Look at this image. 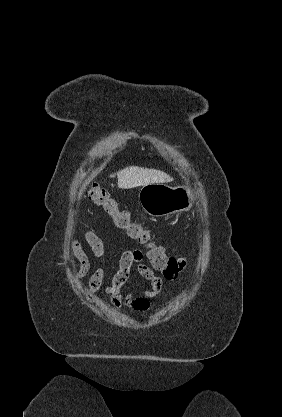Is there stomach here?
Returning a JSON list of instances; mask_svg holds the SVG:
<instances>
[{"mask_svg":"<svg viewBox=\"0 0 282 417\" xmlns=\"http://www.w3.org/2000/svg\"><path fill=\"white\" fill-rule=\"evenodd\" d=\"M139 202L143 211L152 217H165L180 211H189L192 198L185 186H168L164 182L143 184L139 190Z\"/></svg>","mask_w":282,"mask_h":417,"instance_id":"0dacf381","label":"stomach"}]
</instances>
